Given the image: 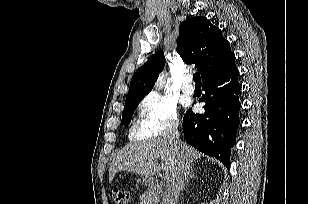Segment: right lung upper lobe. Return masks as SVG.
<instances>
[{
    "mask_svg": "<svg viewBox=\"0 0 309 204\" xmlns=\"http://www.w3.org/2000/svg\"><path fill=\"white\" fill-rule=\"evenodd\" d=\"M177 52L186 64H195L202 80L221 74L235 65L230 43L218 27L199 16L181 23ZM165 57L160 50L152 55L133 75L127 100L144 98L153 88L163 70Z\"/></svg>",
    "mask_w": 309,
    "mask_h": 204,
    "instance_id": "cb5924a9",
    "label": "right lung upper lobe"
}]
</instances>
